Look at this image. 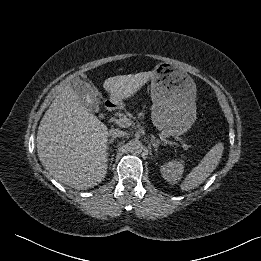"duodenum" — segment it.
<instances>
[{
    "label": "duodenum",
    "instance_id": "410a0bca",
    "mask_svg": "<svg viewBox=\"0 0 261 261\" xmlns=\"http://www.w3.org/2000/svg\"><path fill=\"white\" fill-rule=\"evenodd\" d=\"M106 108L108 111H113L115 109V106L112 103H107Z\"/></svg>",
    "mask_w": 261,
    "mask_h": 261
}]
</instances>
